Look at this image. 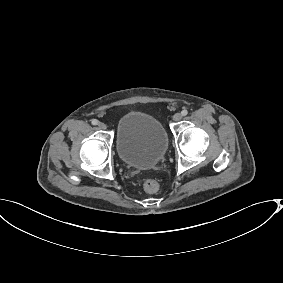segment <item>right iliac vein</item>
<instances>
[{"instance_id":"obj_1","label":"right iliac vein","mask_w":283,"mask_h":283,"mask_svg":"<svg viewBox=\"0 0 283 283\" xmlns=\"http://www.w3.org/2000/svg\"><path fill=\"white\" fill-rule=\"evenodd\" d=\"M98 127H99L100 129H102V130H105V129L107 128L106 124L103 123V122H99V123H98Z\"/></svg>"}]
</instances>
